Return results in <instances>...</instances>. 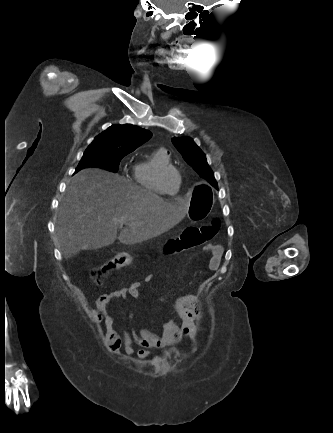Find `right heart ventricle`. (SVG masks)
Wrapping results in <instances>:
<instances>
[{
	"instance_id": "1",
	"label": "right heart ventricle",
	"mask_w": 333,
	"mask_h": 433,
	"mask_svg": "<svg viewBox=\"0 0 333 433\" xmlns=\"http://www.w3.org/2000/svg\"><path fill=\"white\" fill-rule=\"evenodd\" d=\"M171 165V157L169 153L160 148L156 150L150 159L138 162L134 167V180L145 190L158 195L164 196V192L157 182V173L163 166ZM180 191V180H178V187L175 192L177 195Z\"/></svg>"
}]
</instances>
